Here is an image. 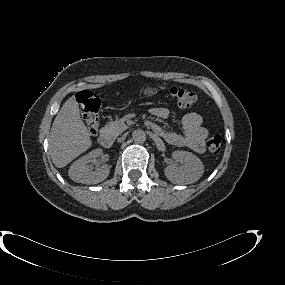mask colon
<instances>
[{"mask_svg":"<svg viewBox=\"0 0 285 285\" xmlns=\"http://www.w3.org/2000/svg\"><path fill=\"white\" fill-rule=\"evenodd\" d=\"M169 94L181 107H189L197 101V94L189 89L171 87ZM77 101L80 104L89 132L96 134L99 130L100 100L92 92L82 91L78 94ZM221 145L222 137L217 134L210 137L206 142L207 149L212 154L219 153Z\"/></svg>","mask_w":285,"mask_h":285,"instance_id":"colon-1","label":"colon"}]
</instances>
